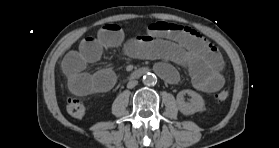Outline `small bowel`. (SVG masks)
Segmentation results:
<instances>
[{
  "mask_svg": "<svg viewBox=\"0 0 279 148\" xmlns=\"http://www.w3.org/2000/svg\"><path fill=\"white\" fill-rule=\"evenodd\" d=\"M118 46H123L129 57L158 60L154 69L168 83L174 84L179 79L172 62L185 68L193 85L201 91L216 92L224 85L223 60L214 45L188 26L158 21L150 24L143 35L127 41L116 24H107L96 36L83 39L61 63L70 91L79 96L109 91L116 83L111 69L95 74H88L85 69L98 61L105 49Z\"/></svg>",
  "mask_w": 279,
  "mask_h": 148,
  "instance_id": "c3829d8e",
  "label": "small bowel"
}]
</instances>
